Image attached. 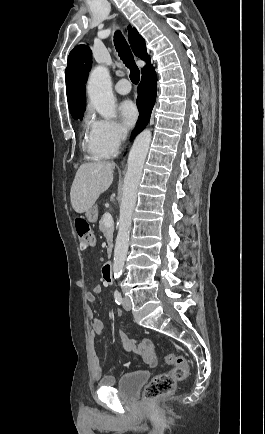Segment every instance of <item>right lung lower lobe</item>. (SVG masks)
Here are the masks:
<instances>
[{"label": "right lung lower lobe", "instance_id": "obj_1", "mask_svg": "<svg viewBox=\"0 0 265 434\" xmlns=\"http://www.w3.org/2000/svg\"><path fill=\"white\" fill-rule=\"evenodd\" d=\"M145 61L150 63L149 59ZM141 72L142 80L138 86L137 98V106L140 115L132 137L143 130L147 125L156 99L157 77L154 68L152 66H145L141 69Z\"/></svg>", "mask_w": 265, "mask_h": 434}]
</instances>
